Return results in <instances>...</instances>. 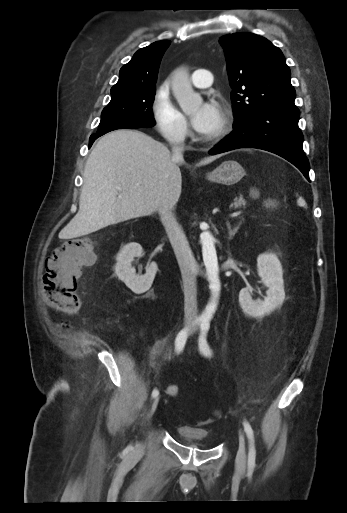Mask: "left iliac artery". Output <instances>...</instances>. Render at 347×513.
<instances>
[{
  "mask_svg": "<svg viewBox=\"0 0 347 513\" xmlns=\"http://www.w3.org/2000/svg\"><path fill=\"white\" fill-rule=\"evenodd\" d=\"M201 334L199 337V348L205 356H211L212 350L207 342V333L210 328L208 320H204L200 324ZM244 430L246 432L249 441V452H248V467L253 469L255 467L256 450L254 444V433L251 425L246 420L243 422Z\"/></svg>",
  "mask_w": 347,
  "mask_h": 513,
  "instance_id": "obj_1",
  "label": "left iliac artery"
}]
</instances>
